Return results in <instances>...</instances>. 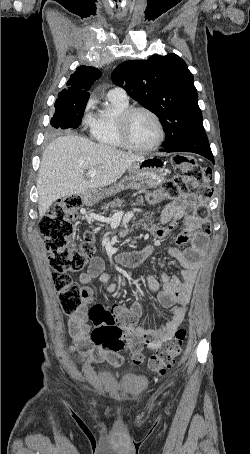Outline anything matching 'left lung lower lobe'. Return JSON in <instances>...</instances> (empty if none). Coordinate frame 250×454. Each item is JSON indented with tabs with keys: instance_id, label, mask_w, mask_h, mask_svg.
<instances>
[{
	"instance_id": "1",
	"label": "left lung lower lobe",
	"mask_w": 250,
	"mask_h": 454,
	"mask_svg": "<svg viewBox=\"0 0 250 454\" xmlns=\"http://www.w3.org/2000/svg\"><path fill=\"white\" fill-rule=\"evenodd\" d=\"M163 152H193L202 155L214 163V157L205 132L188 137L180 143L161 149Z\"/></svg>"
}]
</instances>
